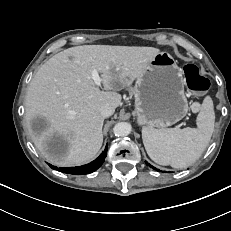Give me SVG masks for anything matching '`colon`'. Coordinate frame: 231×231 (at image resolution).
Here are the masks:
<instances>
[{"mask_svg": "<svg viewBox=\"0 0 231 231\" xmlns=\"http://www.w3.org/2000/svg\"><path fill=\"white\" fill-rule=\"evenodd\" d=\"M184 77L187 86L195 92H203L209 88V80L199 73L198 68L193 64H187L183 67Z\"/></svg>", "mask_w": 231, "mask_h": 231, "instance_id": "5ec220e1", "label": "colon"}]
</instances>
